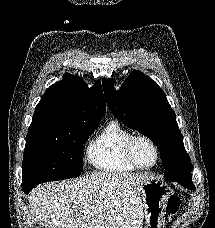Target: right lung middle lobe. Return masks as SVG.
<instances>
[{"label": "right lung middle lobe", "instance_id": "1", "mask_svg": "<svg viewBox=\"0 0 215 228\" xmlns=\"http://www.w3.org/2000/svg\"><path fill=\"white\" fill-rule=\"evenodd\" d=\"M99 122L56 126L28 132L22 165V187L77 177L83 171L84 143Z\"/></svg>", "mask_w": 215, "mask_h": 228}]
</instances>
